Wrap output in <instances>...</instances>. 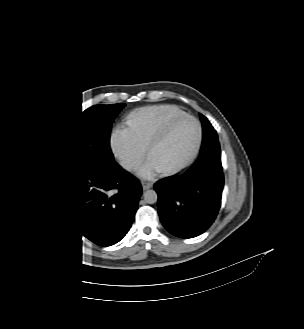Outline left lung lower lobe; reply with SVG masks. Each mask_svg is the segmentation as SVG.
<instances>
[{
  "mask_svg": "<svg viewBox=\"0 0 304 329\" xmlns=\"http://www.w3.org/2000/svg\"><path fill=\"white\" fill-rule=\"evenodd\" d=\"M220 156V145L215 141L183 175L161 179L154 185L160 220L171 234L193 238L214 222L224 186Z\"/></svg>",
  "mask_w": 304,
  "mask_h": 329,
  "instance_id": "obj_1",
  "label": "left lung lower lobe"
}]
</instances>
